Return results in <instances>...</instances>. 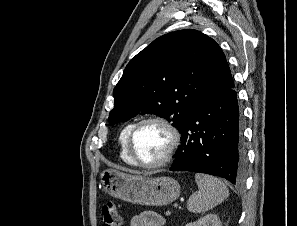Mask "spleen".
Instances as JSON below:
<instances>
[{"label":"spleen","instance_id":"obj_1","mask_svg":"<svg viewBox=\"0 0 297 226\" xmlns=\"http://www.w3.org/2000/svg\"><path fill=\"white\" fill-rule=\"evenodd\" d=\"M195 181L199 191L193 193L187 202V208L192 213H204L229 196L226 185L216 177L196 173Z\"/></svg>","mask_w":297,"mask_h":226}]
</instances>
